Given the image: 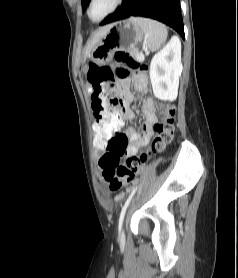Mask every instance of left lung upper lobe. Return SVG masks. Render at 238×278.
Returning a JSON list of instances; mask_svg holds the SVG:
<instances>
[{
  "label": "left lung upper lobe",
  "mask_w": 238,
  "mask_h": 278,
  "mask_svg": "<svg viewBox=\"0 0 238 278\" xmlns=\"http://www.w3.org/2000/svg\"><path fill=\"white\" fill-rule=\"evenodd\" d=\"M88 1H89V0H83V1H82V7H83V9L85 8L86 3H87Z\"/></svg>",
  "instance_id": "5c2ea615"
}]
</instances>
